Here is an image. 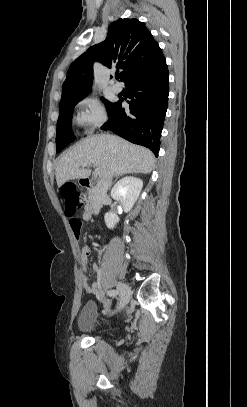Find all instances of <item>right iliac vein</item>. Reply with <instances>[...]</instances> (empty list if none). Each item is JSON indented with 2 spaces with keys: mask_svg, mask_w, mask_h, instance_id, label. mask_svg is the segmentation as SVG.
I'll return each mask as SVG.
<instances>
[{
  "mask_svg": "<svg viewBox=\"0 0 247 407\" xmlns=\"http://www.w3.org/2000/svg\"><path fill=\"white\" fill-rule=\"evenodd\" d=\"M117 288L120 290L121 293L120 304L117 308L118 311L128 304L131 297V290L130 287L125 283H118Z\"/></svg>",
  "mask_w": 247,
  "mask_h": 407,
  "instance_id": "63e3f726",
  "label": "right iliac vein"
}]
</instances>
